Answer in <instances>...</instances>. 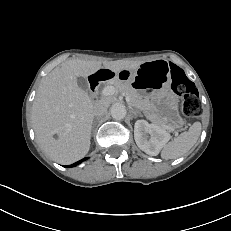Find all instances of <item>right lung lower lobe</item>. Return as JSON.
I'll return each mask as SVG.
<instances>
[{
	"instance_id": "right-lung-lower-lobe-1",
	"label": "right lung lower lobe",
	"mask_w": 231,
	"mask_h": 231,
	"mask_svg": "<svg viewBox=\"0 0 231 231\" xmlns=\"http://www.w3.org/2000/svg\"><path fill=\"white\" fill-rule=\"evenodd\" d=\"M87 158H84V159H82L81 161H79V162H77V163H74L73 165H70V166H68V167H72V166H76L77 164H79L80 162H82V161H84V160H86Z\"/></svg>"
}]
</instances>
